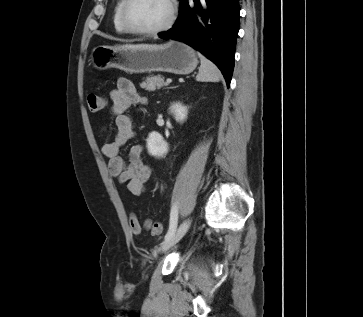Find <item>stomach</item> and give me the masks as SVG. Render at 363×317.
Segmentation results:
<instances>
[{"mask_svg":"<svg viewBox=\"0 0 363 317\" xmlns=\"http://www.w3.org/2000/svg\"><path fill=\"white\" fill-rule=\"evenodd\" d=\"M91 60L98 70L118 68L129 73L169 72L191 73L198 64L195 51L185 43L169 41L150 48H115L98 46Z\"/></svg>","mask_w":363,"mask_h":317,"instance_id":"stomach-1","label":"stomach"}]
</instances>
